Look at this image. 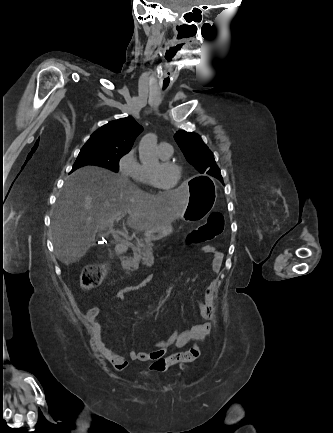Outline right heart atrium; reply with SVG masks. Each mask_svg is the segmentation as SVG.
<instances>
[{"mask_svg": "<svg viewBox=\"0 0 333 433\" xmlns=\"http://www.w3.org/2000/svg\"><path fill=\"white\" fill-rule=\"evenodd\" d=\"M141 168L142 165L137 160L136 152L133 148L129 149L119 158L118 170L127 178L138 180L141 174Z\"/></svg>", "mask_w": 333, "mask_h": 433, "instance_id": "obj_1", "label": "right heart atrium"}]
</instances>
